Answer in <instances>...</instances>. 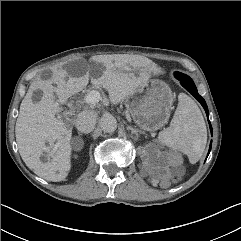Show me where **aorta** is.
I'll use <instances>...</instances> for the list:
<instances>
[{
    "mask_svg": "<svg viewBox=\"0 0 241 241\" xmlns=\"http://www.w3.org/2000/svg\"><path fill=\"white\" fill-rule=\"evenodd\" d=\"M99 125L104 132L112 133L117 129V120L111 114H104L99 121Z\"/></svg>",
    "mask_w": 241,
    "mask_h": 241,
    "instance_id": "762f6f07",
    "label": "aorta"
}]
</instances>
